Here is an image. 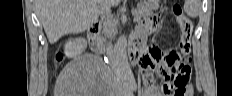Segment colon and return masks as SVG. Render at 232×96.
I'll return each mask as SVG.
<instances>
[{"label": "colon", "instance_id": "1", "mask_svg": "<svg viewBox=\"0 0 232 96\" xmlns=\"http://www.w3.org/2000/svg\"><path fill=\"white\" fill-rule=\"evenodd\" d=\"M172 13L177 18L181 29V38L177 52H166L167 65L163 70L164 82L173 96H190L189 75L191 72L188 59L191 51V37L194 29L192 20L184 15L179 4L172 6ZM64 58L62 51L55 56L58 64Z\"/></svg>", "mask_w": 232, "mask_h": 96}]
</instances>
